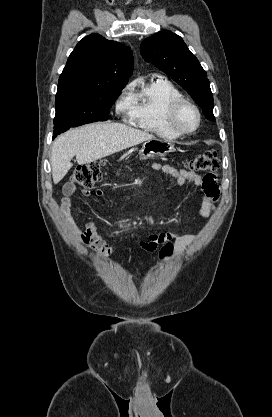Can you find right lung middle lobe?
<instances>
[{
	"label": "right lung middle lobe",
	"mask_w": 272,
	"mask_h": 417,
	"mask_svg": "<svg viewBox=\"0 0 272 417\" xmlns=\"http://www.w3.org/2000/svg\"><path fill=\"white\" fill-rule=\"evenodd\" d=\"M121 90L118 88L102 93L56 97L53 138L70 127L108 120L110 108Z\"/></svg>",
	"instance_id": "obj_1"
}]
</instances>
